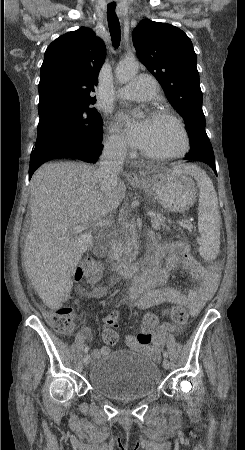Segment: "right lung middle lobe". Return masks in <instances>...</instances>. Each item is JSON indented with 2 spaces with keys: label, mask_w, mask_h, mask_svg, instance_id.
Listing matches in <instances>:
<instances>
[{
  "label": "right lung middle lobe",
  "mask_w": 245,
  "mask_h": 450,
  "mask_svg": "<svg viewBox=\"0 0 245 450\" xmlns=\"http://www.w3.org/2000/svg\"><path fill=\"white\" fill-rule=\"evenodd\" d=\"M38 112V135L32 154L101 143V115L91 105L56 103Z\"/></svg>",
  "instance_id": "dd1d6c3e"
}]
</instances>
